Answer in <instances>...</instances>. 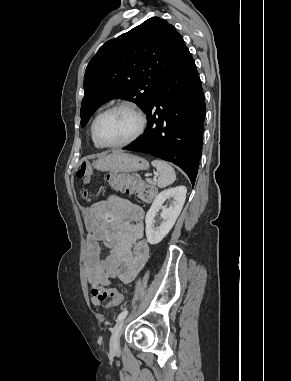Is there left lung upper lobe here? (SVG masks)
<instances>
[{
  "label": "left lung upper lobe",
  "instance_id": "obj_1",
  "mask_svg": "<svg viewBox=\"0 0 291 381\" xmlns=\"http://www.w3.org/2000/svg\"><path fill=\"white\" fill-rule=\"evenodd\" d=\"M187 50L174 26L159 17L107 41L85 71L81 126L100 105L114 98L137 103L145 111L158 85Z\"/></svg>",
  "mask_w": 291,
  "mask_h": 381
}]
</instances>
